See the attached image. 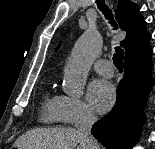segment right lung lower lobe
I'll use <instances>...</instances> for the list:
<instances>
[{"mask_svg": "<svg viewBox=\"0 0 155 149\" xmlns=\"http://www.w3.org/2000/svg\"><path fill=\"white\" fill-rule=\"evenodd\" d=\"M124 77L117 89L112 111L97 121L92 135L107 149H130L144 124L143 109L152 88L151 55L139 61L124 62Z\"/></svg>", "mask_w": 155, "mask_h": 149, "instance_id": "obj_1", "label": "right lung lower lobe"}]
</instances>
